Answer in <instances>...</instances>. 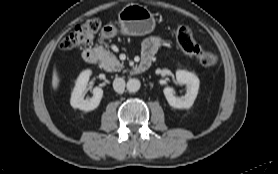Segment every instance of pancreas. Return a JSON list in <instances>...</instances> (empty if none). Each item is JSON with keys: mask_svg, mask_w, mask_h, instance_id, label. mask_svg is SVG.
Here are the masks:
<instances>
[{"mask_svg": "<svg viewBox=\"0 0 278 174\" xmlns=\"http://www.w3.org/2000/svg\"><path fill=\"white\" fill-rule=\"evenodd\" d=\"M100 62L101 67L108 72H119L124 68L123 64L120 63L116 56L108 50L101 51Z\"/></svg>", "mask_w": 278, "mask_h": 174, "instance_id": "pancreas-1", "label": "pancreas"}]
</instances>
